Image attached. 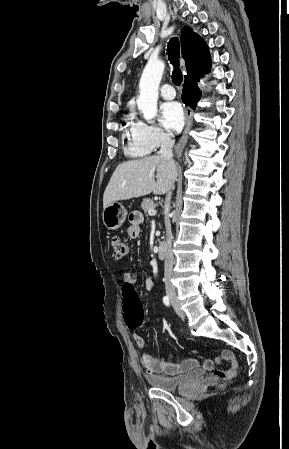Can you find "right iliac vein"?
<instances>
[{"instance_id":"1","label":"right iliac vein","mask_w":289,"mask_h":449,"mask_svg":"<svg viewBox=\"0 0 289 449\" xmlns=\"http://www.w3.org/2000/svg\"><path fill=\"white\" fill-rule=\"evenodd\" d=\"M168 298L170 299V301H171L173 307L175 308V310L177 311V313L181 317H184V312L182 311V309L180 307V304H179V301H178L176 295L173 293H168Z\"/></svg>"}]
</instances>
